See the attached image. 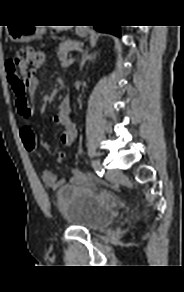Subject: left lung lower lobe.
<instances>
[{
    "instance_id": "1",
    "label": "left lung lower lobe",
    "mask_w": 184,
    "mask_h": 292,
    "mask_svg": "<svg viewBox=\"0 0 184 292\" xmlns=\"http://www.w3.org/2000/svg\"><path fill=\"white\" fill-rule=\"evenodd\" d=\"M94 28L99 32L111 33L113 35L120 36L119 26L95 25Z\"/></svg>"
}]
</instances>
